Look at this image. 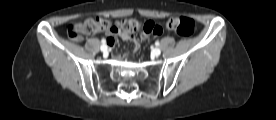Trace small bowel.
Wrapping results in <instances>:
<instances>
[{
  "label": "small bowel",
  "mask_w": 276,
  "mask_h": 120,
  "mask_svg": "<svg viewBox=\"0 0 276 120\" xmlns=\"http://www.w3.org/2000/svg\"><path fill=\"white\" fill-rule=\"evenodd\" d=\"M150 37H151L150 35H147L144 32L142 33V38L143 39H148ZM124 39L132 40L134 42V45H135V50H137L139 48V42L136 40V38L134 36H131V37H128V38H124ZM107 43L110 46H113L115 44V40L110 37V38L107 39Z\"/></svg>",
  "instance_id": "c3829d8e"
}]
</instances>
